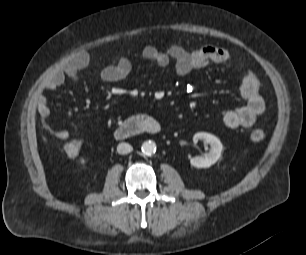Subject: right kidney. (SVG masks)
<instances>
[{"label": "right kidney", "mask_w": 306, "mask_h": 255, "mask_svg": "<svg viewBox=\"0 0 306 255\" xmlns=\"http://www.w3.org/2000/svg\"><path fill=\"white\" fill-rule=\"evenodd\" d=\"M85 162H86V161H85L84 159H82V160L80 161L81 164H85Z\"/></svg>", "instance_id": "ca27d5eb"}]
</instances>
